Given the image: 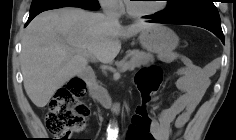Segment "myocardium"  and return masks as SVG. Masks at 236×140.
Instances as JSON below:
<instances>
[{
	"mask_svg": "<svg viewBox=\"0 0 236 140\" xmlns=\"http://www.w3.org/2000/svg\"><path fill=\"white\" fill-rule=\"evenodd\" d=\"M165 8H166L165 1H163L158 7L154 8L152 10H148V11H138V10L133 9L130 1H127V4H126V9H127L128 14L132 17H135V18L150 17V16H153V15L163 11Z\"/></svg>",
	"mask_w": 236,
	"mask_h": 140,
	"instance_id": "myocardium-1",
	"label": "myocardium"
}]
</instances>
